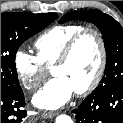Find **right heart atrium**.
Instances as JSON below:
<instances>
[{
	"instance_id": "d8ad5b80",
	"label": "right heart atrium",
	"mask_w": 123,
	"mask_h": 123,
	"mask_svg": "<svg viewBox=\"0 0 123 123\" xmlns=\"http://www.w3.org/2000/svg\"><path fill=\"white\" fill-rule=\"evenodd\" d=\"M13 63L19 81L29 91L35 90L45 78L46 67L37 56L24 49L16 50Z\"/></svg>"
}]
</instances>
